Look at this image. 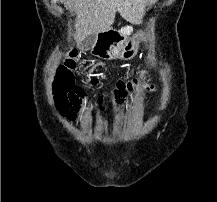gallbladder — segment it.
I'll use <instances>...</instances> for the list:
<instances>
[{
  "mask_svg": "<svg viewBox=\"0 0 217 202\" xmlns=\"http://www.w3.org/2000/svg\"><path fill=\"white\" fill-rule=\"evenodd\" d=\"M95 42L96 34H89V36H86L85 40H82L80 44V50L89 51L91 49V46H94Z\"/></svg>",
  "mask_w": 217,
  "mask_h": 202,
  "instance_id": "bac80fb5",
  "label": "gallbladder"
}]
</instances>
